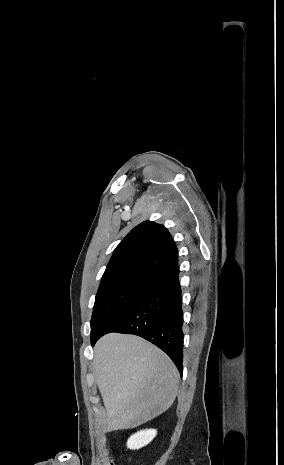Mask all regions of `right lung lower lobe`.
<instances>
[{"label": "right lung lower lobe", "instance_id": "right-lung-lower-lobe-1", "mask_svg": "<svg viewBox=\"0 0 284 465\" xmlns=\"http://www.w3.org/2000/svg\"><path fill=\"white\" fill-rule=\"evenodd\" d=\"M179 269L164 273L131 304L114 317L101 333L91 339L92 346L110 332L134 334L162 349L183 371V311Z\"/></svg>", "mask_w": 284, "mask_h": 465}]
</instances>
